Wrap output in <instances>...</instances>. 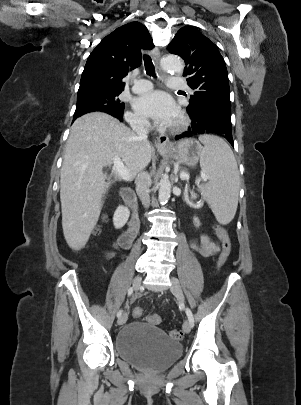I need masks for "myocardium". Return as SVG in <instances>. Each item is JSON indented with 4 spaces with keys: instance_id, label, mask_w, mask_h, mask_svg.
Here are the masks:
<instances>
[{
    "instance_id": "f54148a6",
    "label": "myocardium",
    "mask_w": 301,
    "mask_h": 405,
    "mask_svg": "<svg viewBox=\"0 0 301 405\" xmlns=\"http://www.w3.org/2000/svg\"><path fill=\"white\" fill-rule=\"evenodd\" d=\"M188 126V120L185 117H180L177 122L169 127L167 130L171 133H178L183 131Z\"/></svg>"
}]
</instances>
